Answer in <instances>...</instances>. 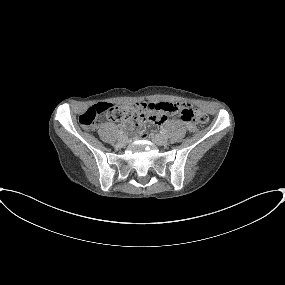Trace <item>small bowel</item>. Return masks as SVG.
<instances>
[{
	"instance_id": "obj_1",
	"label": "small bowel",
	"mask_w": 285,
	"mask_h": 285,
	"mask_svg": "<svg viewBox=\"0 0 285 285\" xmlns=\"http://www.w3.org/2000/svg\"><path fill=\"white\" fill-rule=\"evenodd\" d=\"M147 105L152 106V112L148 115L141 116L136 121V123L133 124L134 128L142 130L145 121H149L157 125H163L168 122L169 115H171L169 107L172 106L173 103L169 101H154V102H149ZM177 122L178 124L185 126L190 131L195 130V126L192 122H186L182 119H178Z\"/></svg>"
}]
</instances>
